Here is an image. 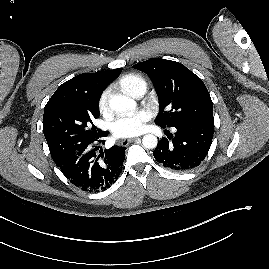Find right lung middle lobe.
I'll return each mask as SVG.
<instances>
[{
	"label": "right lung middle lobe",
	"mask_w": 269,
	"mask_h": 269,
	"mask_svg": "<svg viewBox=\"0 0 269 269\" xmlns=\"http://www.w3.org/2000/svg\"><path fill=\"white\" fill-rule=\"evenodd\" d=\"M99 115V101L46 105L43 133L52 159L55 160L75 145L92 141L102 134L92 122Z\"/></svg>",
	"instance_id": "right-lung-middle-lobe-1"
}]
</instances>
